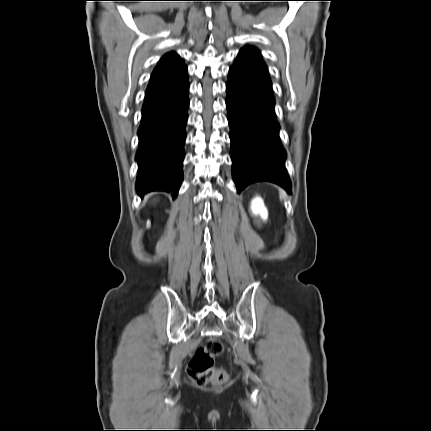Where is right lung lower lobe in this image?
Segmentation results:
<instances>
[{
	"label": "right lung lower lobe",
	"mask_w": 431,
	"mask_h": 431,
	"mask_svg": "<svg viewBox=\"0 0 431 431\" xmlns=\"http://www.w3.org/2000/svg\"><path fill=\"white\" fill-rule=\"evenodd\" d=\"M188 92L185 76L161 93L145 98L136 154V190L140 196L156 190L177 196L183 181Z\"/></svg>",
	"instance_id": "obj_1"
}]
</instances>
